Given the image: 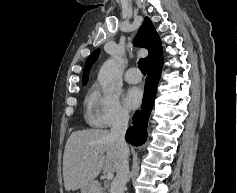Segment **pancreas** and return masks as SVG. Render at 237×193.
I'll return each mask as SVG.
<instances>
[{
	"label": "pancreas",
	"mask_w": 237,
	"mask_h": 193,
	"mask_svg": "<svg viewBox=\"0 0 237 193\" xmlns=\"http://www.w3.org/2000/svg\"><path fill=\"white\" fill-rule=\"evenodd\" d=\"M107 189H108V184H104V190H107Z\"/></svg>",
	"instance_id": "obj_1"
}]
</instances>
